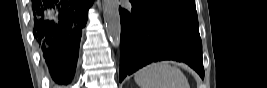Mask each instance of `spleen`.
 I'll return each mask as SVG.
<instances>
[{"instance_id": "spleen-1", "label": "spleen", "mask_w": 267, "mask_h": 88, "mask_svg": "<svg viewBox=\"0 0 267 88\" xmlns=\"http://www.w3.org/2000/svg\"><path fill=\"white\" fill-rule=\"evenodd\" d=\"M134 79L140 88H190L183 72L166 61L143 67Z\"/></svg>"}]
</instances>
